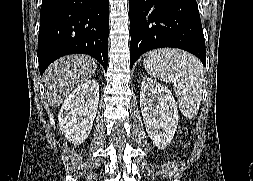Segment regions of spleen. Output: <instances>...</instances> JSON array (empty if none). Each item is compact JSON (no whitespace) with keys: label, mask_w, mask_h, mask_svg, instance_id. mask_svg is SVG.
I'll return each instance as SVG.
<instances>
[{"label":"spleen","mask_w":253,"mask_h":181,"mask_svg":"<svg viewBox=\"0 0 253 181\" xmlns=\"http://www.w3.org/2000/svg\"><path fill=\"white\" fill-rule=\"evenodd\" d=\"M143 65L152 77L172 83L184 117L191 119L197 114L204 81L199 59L185 51L167 48L147 53Z\"/></svg>","instance_id":"1"}]
</instances>
